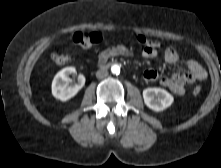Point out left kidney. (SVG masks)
Masks as SVG:
<instances>
[{
  "label": "left kidney",
  "mask_w": 221,
  "mask_h": 168,
  "mask_svg": "<svg viewBox=\"0 0 221 168\" xmlns=\"http://www.w3.org/2000/svg\"><path fill=\"white\" fill-rule=\"evenodd\" d=\"M144 103L153 111L160 112L171 106L173 96L162 88H146L143 90Z\"/></svg>",
  "instance_id": "left-kidney-1"
}]
</instances>
